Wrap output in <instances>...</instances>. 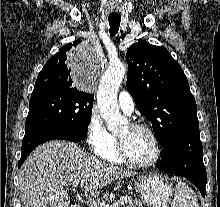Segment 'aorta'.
<instances>
[{"label":"aorta","mask_w":220,"mask_h":207,"mask_svg":"<svg viewBox=\"0 0 220 207\" xmlns=\"http://www.w3.org/2000/svg\"><path fill=\"white\" fill-rule=\"evenodd\" d=\"M126 71L127 68L123 63H112L104 72L99 83L97 92L98 109L109 131H116L127 122L121 116L117 104V93Z\"/></svg>","instance_id":"762f6f07"}]
</instances>
